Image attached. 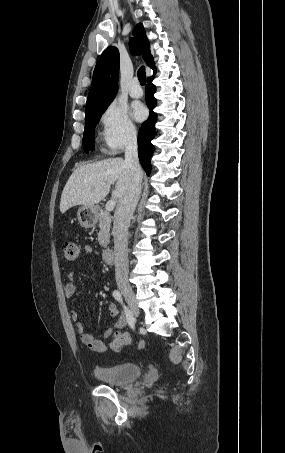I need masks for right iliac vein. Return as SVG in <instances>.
<instances>
[{
    "label": "right iliac vein",
    "instance_id": "right-iliac-vein-1",
    "mask_svg": "<svg viewBox=\"0 0 285 453\" xmlns=\"http://www.w3.org/2000/svg\"><path fill=\"white\" fill-rule=\"evenodd\" d=\"M118 287H119L120 291L122 292V294L124 295V297L126 298L128 304L132 310V313L135 316H138L139 309L136 304L135 294H134L130 284L125 281H121L118 283Z\"/></svg>",
    "mask_w": 285,
    "mask_h": 453
}]
</instances>
